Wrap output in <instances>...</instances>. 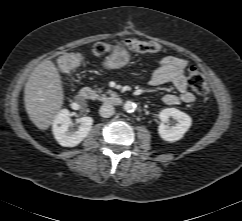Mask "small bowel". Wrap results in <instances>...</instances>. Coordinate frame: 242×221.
<instances>
[{"mask_svg": "<svg viewBox=\"0 0 242 221\" xmlns=\"http://www.w3.org/2000/svg\"><path fill=\"white\" fill-rule=\"evenodd\" d=\"M187 61L185 59L166 56L157 61V66L149 77L151 86L172 84L180 95L168 93L163 96L164 104L177 105L180 101L190 104L195 101V96L188 90L186 80Z\"/></svg>", "mask_w": 242, "mask_h": 221, "instance_id": "small-bowel-1", "label": "small bowel"}]
</instances>
